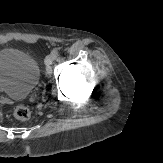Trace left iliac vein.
Returning a JSON list of instances; mask_svg holds the SVG:
<instances>
[{
	"mask_svg": "<svg viewBox=\"0 0 163 163\" xmlns=\"http://www.w3.org/2000/svg\"><path fill=\"white\" fill-rule=\"evenodd\" d=\"M55 57L56 55L54 53H51L45 58V64L47 67H49L52 64V62L55 60Z\"/></svg>",
	"mask_w": 163,
	"mask_h": 163,
	"instance_id": "1",
	"label": "left iliac vein"
}]
</instances>
